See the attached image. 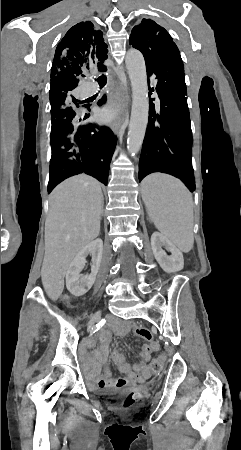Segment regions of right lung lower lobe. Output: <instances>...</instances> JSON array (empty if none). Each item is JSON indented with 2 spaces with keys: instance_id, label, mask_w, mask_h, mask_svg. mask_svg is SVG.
Here are the masks:
<instances>
[{
  "instance_id": "obj_1",
  "label": "right lung lower lobe",
  "mask_w": 241,
  "mask_h": 450,
  "mask_svg": "<svg viewBox=\"0 0 241 450\" xmlns=\"http://www.w3.org/2000/svg\"><path fill=\"white\" fill-rule=\"evenodd\" d=\"M105 101L104 96L98 104L102 105ZM88 117L89 114H85L84 117L75 120L63 119L56 125L61 132L73 136L74 145L52 148L49 193L64 179L80 173L91 175L107 185L109 166L117 138L107 127L92 124L75 125L76 122Z\"/></svg>"
}]
</instances>
